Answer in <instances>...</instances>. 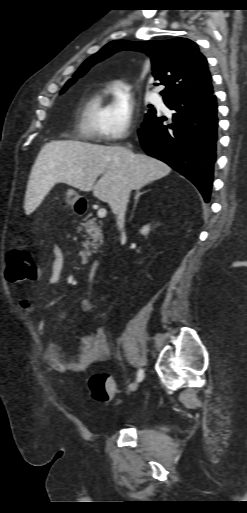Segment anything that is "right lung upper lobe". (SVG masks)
<instances>
[{"label":"right lung upper lobe","instance_id":"obj_1","mask_svg":"<svg viewBox=\"0 0 247 513\" xmlns=\"http://www.w3.org/2000/svg\"><path fill=\"white\" fill-rule=\"evenodd\" d=\"M119 50L141 51L150 56L153 77L166 86L161 91L164 100L206 97L214 92L207 59L199 51L197 44L186 38L164 41H111L89 57L73 76L81 77L92 65Z\"/></svg>","mask_w":247,"mask_h":513}]
</instances>
